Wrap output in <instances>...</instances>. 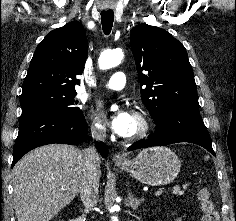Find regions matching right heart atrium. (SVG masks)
I'll return each instance as SVG.
<instances>
[{"instance_id":"right-heart-atrium-1","label":"right heart atrium","mask_w":236,"mask_h":221,"mask_svg":"<svg viewBox=\"0 0 236 221\" xmlns=\"http://www.w3.org/2000/svg\"><path fill=\"white\" fill-rule=\"evenodd\" d=\"M90 131L95 138L103 139L107 134L106 124L98 116H93L90 124Z\"/></svg>"}]
</instances>
